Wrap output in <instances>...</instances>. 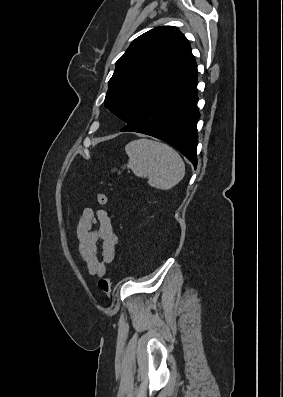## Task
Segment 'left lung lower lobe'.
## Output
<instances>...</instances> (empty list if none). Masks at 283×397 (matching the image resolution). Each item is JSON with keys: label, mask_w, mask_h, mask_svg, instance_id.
<instances>
[{"label": "left lung lower lobe", "mask_w": 283, "mask_h": 397, "mask_svg": "<svg viewBox=\"0 0 283 397\" xmlns=\"http://www.w3.org/2000/svg\"><path fill=\"white\" fill-rule=\"evenodd\" d=\"M196 86L197 75L160 98L120 131L143 133L163 140L179 150L196 168V125L200 118Z\"/></svg>", "instance_id": "1"}]
</instances>
